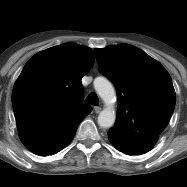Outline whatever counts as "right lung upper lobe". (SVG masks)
<instances>
[{"mask_svg": "<svg viewBox=\"0 0 187 187\" xmlns=\"http://www.w3.org/2000/svg\"><path fill=\"white\" fill-rule=\"evenodd\" d=\"M94 63L92 50L64 43L35 54L24 66L12 93L23 144L42 155L77 129L91 112L83 104L81 78Z\"/></svg>", "mask_w": 187, "mask_h": 187, "instance_id": "cb5924a9", "label": "right lung upper lobe"}]
</instances>
